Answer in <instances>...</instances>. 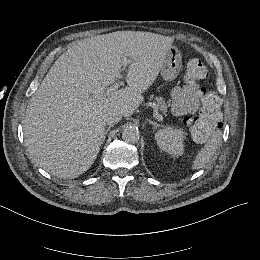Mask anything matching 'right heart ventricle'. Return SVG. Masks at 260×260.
Instances as JSON below:
<instances>
[{
  "mask_svg": "<svg viewBox=\"0 0 260 260\" xmlns=\"http://www.w3.org/2000/svg\"><path fill=\"white\" fill-rule=\"evenodd\" d=\"M115 56V64L113 66H104L100 64H94L90 66L89 73L92 81L97 85H104L110 82L116 77L123 66L124 61L127 58H133L137 55L147 54L152 58L153 52L150 50H113Z\"/></svg>",
  "mask_w": 260,
  "mask_h": 260,
  "instance_id": "obj_1",
  "label": "right heart ventricle"
}]
</instances>
